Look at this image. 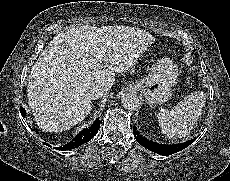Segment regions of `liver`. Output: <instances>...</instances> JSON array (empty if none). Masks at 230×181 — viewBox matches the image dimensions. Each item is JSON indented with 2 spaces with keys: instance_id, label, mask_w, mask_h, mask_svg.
Here are the masks:
<instances>
[{
  "instance_id": "1",
  "label": "liver",
  "mask_w": 230,
  "mask_h": 181,
  "mask_svg": "<svg viewBox=\"0 0 230 181\" xmlns=\"http://www.w3.org/2000/svg\"><path fill=\"white\" fill-rule=\"evenodd\" d=\"M154 41L145 31L115 26H78L59 33L29 75L28 104L37 124L59 131L83 121L92 108L90 89H110L115 73L129 70Z\"/></svg>"
}]
</instances>
